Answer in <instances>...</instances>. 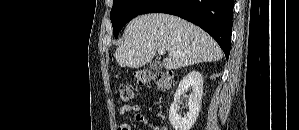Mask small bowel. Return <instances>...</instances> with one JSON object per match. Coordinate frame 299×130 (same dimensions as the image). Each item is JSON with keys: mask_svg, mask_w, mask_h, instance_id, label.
<instances>
[{"mask_svg": "<svg viewBox=\"0 0 299 130\" xmlns=\"http://www.w3.org/2000/svg\"><path fill=\"white\" fill-rule=\"evenodd\" d=\"M127 113H132L134 120L138 123L149 126L154 130H165L164 128L154 127L141 113L140 108L137 105H124L119 109V115H125ZM118 130H131V126L128 123H122L119 125Z\"/></svg>", "mask_w": 299, "mask_h": 130, "instance_id": "obj_1", "label": "small bowel"}]
</instances>
